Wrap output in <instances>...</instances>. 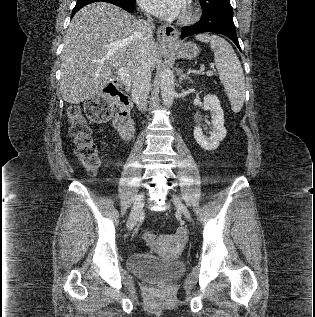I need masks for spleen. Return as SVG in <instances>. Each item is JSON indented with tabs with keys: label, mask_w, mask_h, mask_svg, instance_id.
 Listing matches in <instances>:
<instances>
[{
	"label": "spleen",
	"mask_w": 315,
	"mask_h": 317,
	"mask_svg": "<svg viewBox=\"0 0 315 317\" xmlns=\"http://www.w3.org/2000/svg\"><path fill=\"white\" fill-rule=\"evenodd\" d=\"M195 38L198 41L210 43L214 52L215 66L220 81L227 91L232 111L238 113L242 109L245 100V78L235 51L228 41L218 35L202 33L196 35Z\"/></svg>",
	"instance_id": "3e777b00"
}]
</instances>
